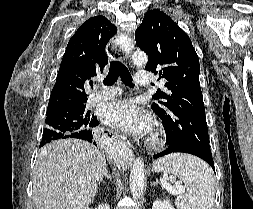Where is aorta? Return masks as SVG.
<instances>
[{"label": "aorta", "mask_w": 253, "mask_h": 209, "mask_svg": "<svg viewBox=\"0 0 253 209\" xmlns=\"http://www.w3.org/2000/svg\"><path fill=\"white\" fill-rule=\"evenodd\" d=\"M132 61L135 65L142 66L147 63L148 57L143 52H135L132 55ZM144 184H145L144 162L141 158H136L130 173V191L134 199H137L141 196L144 190Z\"/></svg>", "instance_id": "obj_1"}]
</instances>
